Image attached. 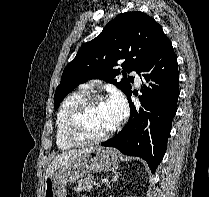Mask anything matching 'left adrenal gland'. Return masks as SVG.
Wrapping results in <instances>:
<instances>
[{
    "label": "left adrenal gland",
    "mask_w": 209,
    "mask_h": 197,
    "mask_svg": "<svg viewBox=\"0 0 209 197\" xmlns=\"http://www.w3.org/2000/svg\"><path fill=\"white\" fill-rule=\"evenodd\" d=\"M119 177H120V174L115 173L112 176L111 180L107 183L106 188H104V190L107 189L108 187H110L111 182H116L119 179Z\"/></svg>",
    "instance_id": "a2214340"
}]
</instances>
